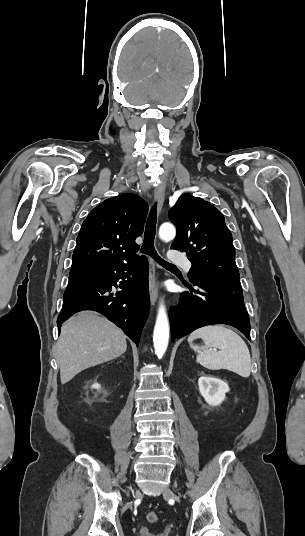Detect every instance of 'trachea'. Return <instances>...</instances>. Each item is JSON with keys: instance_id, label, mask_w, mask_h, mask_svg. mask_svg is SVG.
<instances>
[{"instance_id": "3493384b", "label": "trachea", "mask_w": 305, "mask_h": 536, "mask_svg": "<svg viewBox=\"0 0 305 536\" xmlns=\"http://www.w3.org/2000/svg\"><path fill=\"white\" fill-rule=\"evenodd\" d=\"M156 222L157 204L155 203L151 208L149 218L146 223L143 245L140 251L141 253L149 255L151 258H153V260H155L167 270H178L175 265H172V263H168V261L163 260V258H161V256H159L157 251L155 250L154 239L156 234Z\"/></svg>"}]
</instances>
